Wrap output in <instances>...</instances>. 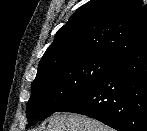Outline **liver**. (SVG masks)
<instances>
[{"label": "liver", "mask_w": 147, "mask_h": 131, "mask_svg": "<svg viewBox=\"0 0 147 131\" xmlns=\"http://www.w3.org/2000/svg\"><path fill=\"white\" fill-rule=\"evenodd\" d=\"M45 131H112L103 123L74 113H55Z\"/></svg>", "instance_id": "obj_1"}]
</instances>
